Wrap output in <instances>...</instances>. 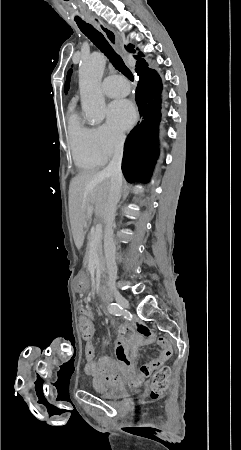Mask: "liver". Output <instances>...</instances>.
<instances>
[{"label":"liver","instance_id":"6515ba94","mask_svg":"<svg viewBox=\"0 0 241 450\" xmlns=\"http://www.w3.org/2000/svg\"><path fill=\"white\" fill-rule=\"evenodd\" d=\"M111 178L102 172H80L72 178L69 192V212L74 242L80 250L84 242V228L92 212L108 222L107 212Z\"/></svg>","mask_w":241,"mask_h":450}]
</instances>
